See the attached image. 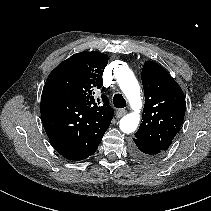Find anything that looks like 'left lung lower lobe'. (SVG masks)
Returning <instances> with one entry per match:
<instances>
[{
	"label": "left lung lower lobe",
	"mask_w": 211,
	"mask_h": 211,
	"mask_svg": "<svg viewBox=\"0 0 211 211\" xmlns=\"http://www.w3.org/2000/svg\"><path fill=\"white\" fill-rule=\"evenodd\" d=\"M133 141L134 143L131 147V154L139 162H151L161 154V151L153 149L135 138H133Z\"/></svg>",
	"instance_id": "left-lung-lower-lobe-1"
}]
</instances>
